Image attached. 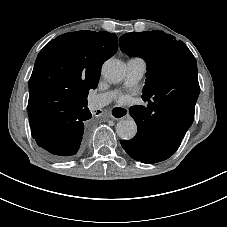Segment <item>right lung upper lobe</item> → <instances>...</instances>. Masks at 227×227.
Segmentation results:
<instances>
[{
  "mask_svg": "<svg viewBox=\"0 0 227 227\" xmlns=\"http://www.w3.org/2000/svg\"><path fill=\"white\" fill-rule=\"evenodd\" d=\"M117 47V36L106 31H76L49 42L38 54L29 80L31 129L49 132L69 122L72 109L87 103L103 62Z\"/></svg>",
  "mask_w": 227,
  "mask_h": 227,
  "instance_id": "1",
  "label": "right lung upper lobe"
}]
</instances>
